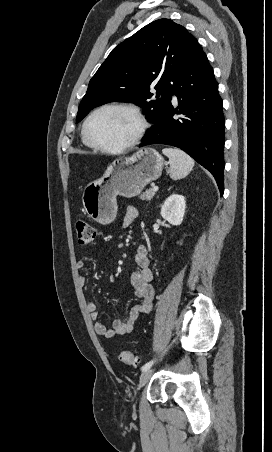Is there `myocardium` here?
<instances>
[{
    "mask_svg": "<svg viewBox=\"0 0 272 452\" xmlns=\"http://www.w3.org/2000/svg\"><path fill=\"white\" fill-rule=\"evenodd\" d=\"M108 109H117V110H122V111L128 112L137 122V130H136L134 136L131 138L130 141H128L127 143H125L124 145H121L119 147H110V146L103 145V144L97 142L91 136V134L89 132V126H90L91 120L98 113H100L104 110H108ZM147 127H148V124H147L145 117L142 115V113L136 107L129 105V104H124V103H108V104L99 106L98 108H96L94 111H92L88 115V117L86 118V120L83 124L82 134H83L85 141L92 148L103 151V152L119 154V153H123L127 150H130L131 148L136 146L141 141L143 136L145 135Z\"/></svg>",
    "mask_w": 272,
    "mask_h": 452,
    "instance_id": "f54148a6",
    "label": "myocardium"
}]
</instances>
